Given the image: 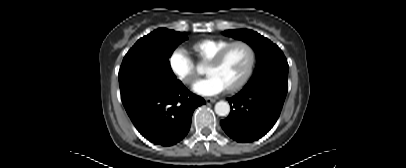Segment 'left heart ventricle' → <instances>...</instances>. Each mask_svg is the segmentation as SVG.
Segmentation results:
<instances>
[{
  "mask_svg": "<svg viewBox=\"0 0 406 168\" xmlns=\"http://www.w3.org/2000/svg\"><path fill=\"white\" fill-rule=\"evenodd\" d=\"M249 60L248 48L244 45H236L227 52L218 66H206L204 72L218 79L226 89L242 78L248 67Z\"/></svg>",
  "mask_w": 406,
  "mask_h": 168,
  "instance_id": "left-heart-ventricle-1",
  "label": "left heart ventricle"
}]
</instances>
